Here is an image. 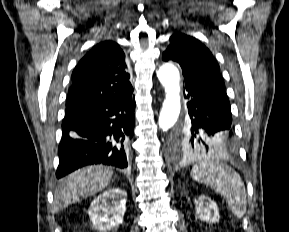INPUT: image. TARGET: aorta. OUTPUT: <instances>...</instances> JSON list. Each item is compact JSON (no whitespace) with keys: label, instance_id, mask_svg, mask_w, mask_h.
<instances>
[{"label":"aorta","instance_id":"1","mask_svg":"<svg viewBox=\"0 0 289 232\" xmlns=\"http://www.w3.org/2000/svg\"><path fill=\"white\" fill-rule=\"evenodd\" d=\"M157 76L166 93L158 124L167 131L175 125L181 111L180 75L176 66L167 63L159 68Z\"/></svg>","mask_w":289,"mask_h":232}]
</instances>
